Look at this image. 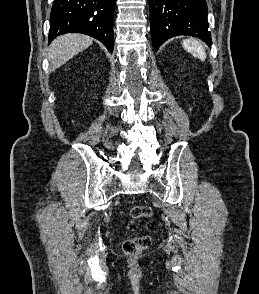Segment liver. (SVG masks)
Segmentation results:
<instances>
[{
  "label": "liver",
  "instance_id": "obj_1",
  "mask_svg": "<svg viewBox=\"0 0 259 294\" xmlns=\"http://www.w3.org/2000/svg\"><path fill=\"white\" fill-rule=\"evenodd\" d=\"M93 42L89 36L68 33L57 37L50 45L48 58L53 70L64 65L69 59L87 49Z\"/></svg>",
  "mask_w": 259,
  "mask_h": 294
}]
</instances>
